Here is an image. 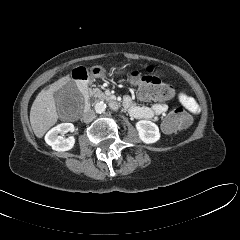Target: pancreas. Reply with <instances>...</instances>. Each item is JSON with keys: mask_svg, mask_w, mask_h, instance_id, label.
Here are the masks:
<instances>
[{"mask_svg": "<svg viewBox=\"0 0 240 240\" xmlns=\"http://www.w3.org/2000/svg\"><path fill=\"white\" fill-rule=\"evenodd\" d=\"M89 96L95 98H106V95L98 88L91 89L89 91Z\"/></svg>", "mask_w": 240, "mask_h": 240, "instance_id": "obj_1", "label": "pancreas"}]
</instances>
